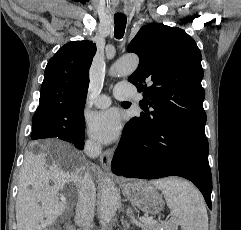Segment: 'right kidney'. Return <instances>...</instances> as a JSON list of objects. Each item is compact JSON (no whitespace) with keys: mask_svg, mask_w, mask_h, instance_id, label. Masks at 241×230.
I'll return each instance as SVG.
<instances>
[{"mask_svg":"<svg viewBox=\"0 0 241 230\" xmlns=\"http://www.w3.org/2000/svg\"><path fill=\"white\" fill-rule=\"evenodd\" d=\"M45 230H52L51 228H46Z\"/></svg>","mask_w":241,"mask_h":230,"instance_id":"obj_1","label":"right kidney"}]
</instances>
